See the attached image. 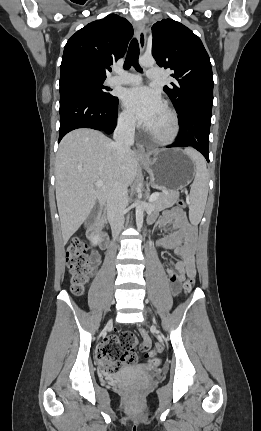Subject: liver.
Returning a JSON list of instances; mask_svg holds the SVG:
<instances>
[{"instance_id":"obj_1","label":"liver","mask_w":261,"mask_h":431,"mask_svg":"<svg viewBox=\"0 0 261 431\" xmlns=\"http://www.w3.org/2000/svg\"><path fill=\"white\" fill-rule=\"evenodd\" d=\"M138 157L122 158L114 142L99 131L76 129L60 142L56 167V200L63 243L79 229L97 202H104L116 186H130L137 174ZM97 181L103 186H95Z\"/></svg>"}]
</instances>
